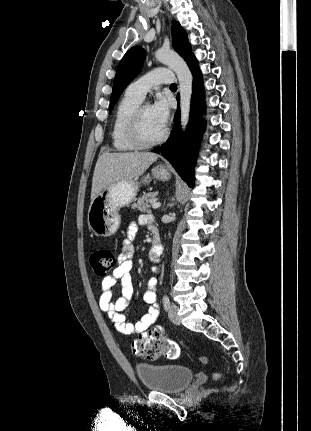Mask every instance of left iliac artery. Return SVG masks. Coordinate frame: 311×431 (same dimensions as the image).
Listing matches in <instances>:
<instances>
[{"mask_svg":"<svg viewBox=\"0 0 311 431\" xmlns=\"http://www.w3.org/2000/svg\"><path fill=\"white\" fill-rule=\"evenodd\" d=\"M163 306L165 310H168L170 307V300L169 297L167 295H164L163 297Z\"/></svg>","mask_w":311,"mask_h":431,"instance_id":"left-iliac-artery-1","label":"left iliac artery"}]
</instances>
